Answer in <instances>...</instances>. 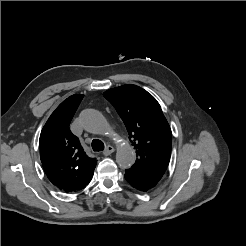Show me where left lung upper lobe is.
Listing matches in <instances>:
<instances>
[{
  "label": "left lung upper lobe",
  "mask_w": 246,
  "mask_h": 246,
  "mask_svg": "<svg viewBox=\"0 0 246 246\" xmlns=\"http://www.w3.org/2000/svg\"><path fill=\"white\" fill-rule=\"evenodd\" d=\"M123 120L136 149V168L160 181L170 161L172 134L156 99L136 85L104 92Z\"/></svg>",
  "instance_id": "obj_1"
}]
</instances>
